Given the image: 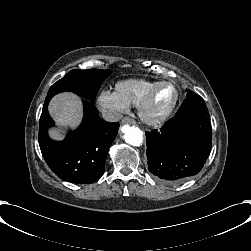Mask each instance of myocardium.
Here are the masks:
<instances>
[{
    "label": "myocardium",
    "instance_id": "1",
    "mask_svg": "<svg viewBox=\"0 0 251 251\" xmlns=\"http://www.w3.org/2000/svg\"><path fill=\"white\" fill-rule=\"evenodd\" d=\"M167 82H171L173 83L178 91V98L176 103L174 104V106L172 108H170L168 111L154 116L149 112V107L150 104L152 102V99L156 93V91L158 90V88ZM183 97H184V92H183V88L177 84L176 81L169 79V78H162L160 80H158L157 82H155L147 91V93L145 94L144 98L142 99V101L140 102V104L138 105V115L140 117V119L148 124V125H159L162 124L163 122H165L166 120H168L180 107L182 101H183Z\"/></svg>",
    "mask_w": 251,
    "mask_h": 251
}]
</instances>
